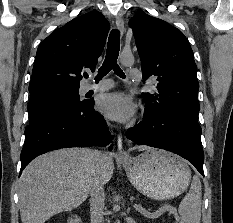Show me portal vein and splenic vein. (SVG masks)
<instances>
[{
  "label": "portal vein and splenic vein",
  "instance_id": "obj_1",
  "mask_svg": "<svg viewBox=\"0 0 233 223\" xmlns=\"http://www.w3.org/2000/svg\"><path fill=\"white\" fill-rule=\"evenodd\" d=\"M134 207L135 209H137V211H140L142 215H145V217H159V215H161L159 211H154V213H150V211H147V209H144L142 205H137V203H135Z\"/></svg>",
  "mask_w": 233,
  "mask_h": 223
}]
</instances>
